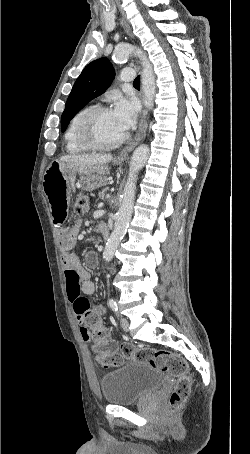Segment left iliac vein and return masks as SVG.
<instances>
[{"label":"left iliac vein","instance_id":"obj_1","mask_svg":"<svg viewBox=\"0 0 250 454\" xmlns=\"http://www.w3.org/2000/svg\"><path fill=\"white\" fill-rule=\"evenodd\" d=\"M121 327L124 331L128 332L129 331V321L127 318L122 317L120 320Z\"/></svg>","mask_w":250,"mask_h":454}]
</instances>
